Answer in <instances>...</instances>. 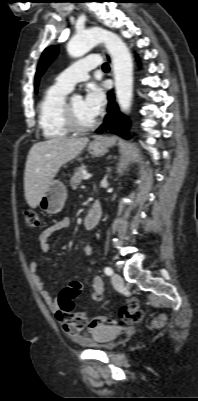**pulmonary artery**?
I'll use <instances>...</instances> for the list:
<instances>
[{
	"mask_svg": "<svg viewBox=\"0 0 198 401\" xmlns=\"http://www.w3.org/2000/svg\"><path fill=\"white\" fill-rule=\"evenodd\" d=\"M101 62L99 56H90L81 59L60 73L56 77L55 83L71 91L76 83L87 80L90 70L99 66Z\"/></svg>",
	"mask_w": 198,
	"mask_h": 401,
	"instance_id": "1",
	"label": "pulmonary artery"
}]
</instances>
